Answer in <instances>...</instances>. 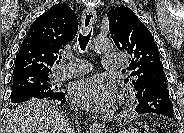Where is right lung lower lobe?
Wrapping results in <instances>:
<instances>
[{"mask_svg":"<svg viewBox=\"0 0 184 133\" xmlns=\"http://www.w3.org/2000/svg\"><path fill=\"white\" fill-rule=\"evenodd\" d=\"M35 98H41V99L46 98L48 100H56V101H59L62 103H64L66 101L65 94L61 91H58L50 96H21V97L13 99L12 102L14 104H17V103L25 102V101L32 100Z\"/></svg>","mask_w":184,"mask_h":133,"instance_id":"obj_1","label":"right lung lower lobe"}]
</instances>
